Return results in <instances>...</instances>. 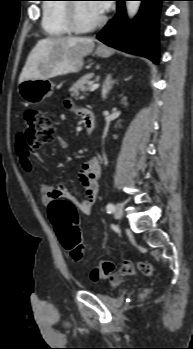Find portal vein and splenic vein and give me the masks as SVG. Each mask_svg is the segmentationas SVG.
Instances as JSON below:
<instances>
[{
	"label": "portal vein and splenic vein",
	"instance_id": "18ae733b",
	"mask_svg": "<svg viewBox=\"0 0 193 349\" xmlns=\"http://www.w3.org/2000/svg\"><path fill=\"white\" fill-rule=\"evenodd\" d=\"M100 86L99 83H95L93 85L90 86L89 90L92 92V91H95L96 89H98Z\"/></svg>",
	"mask_w": 193,
	"mask_h": 349
}]
</instances>
